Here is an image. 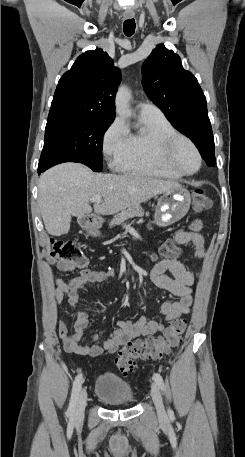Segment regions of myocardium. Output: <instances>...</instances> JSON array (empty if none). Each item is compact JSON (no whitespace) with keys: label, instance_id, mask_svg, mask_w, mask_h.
Masks as SVG:
<instances>
[{"label":"myocardium","instance_id":"myocardium-1","mask_svg":"<svg viewBox=\"0 0 245 457\" xmlns=\"http://www.w3.org/2000/svg\"><path fill=\"white\" fill-rule=\"evenodd\" d=\"M182 141L187 143L197 161L196 167L191 171H184L177 168L164 157L166 153L172 151ZM147 155L155 166L178 176L192 175L199 170L202 164L201 155L195 147L194 142L186 135L180 133L171 134L166 138H162L156 134L149 136L147 139Z\"/></svg>","mask_w":245,"mask_h":457}]
</instances>
